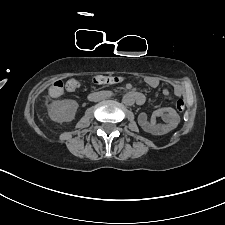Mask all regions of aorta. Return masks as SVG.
<instances>
[{
	"mask_svg": "<svg viewBox=\"0 0 225 225\" xmlns=\"http://www.w3.org/2000/svg\"><path fill=\"white\" fill-rule=\"evenodd\" d=\"M122 102L125 105H132L134 103V98L131 94H125L122 98Z\"/></svg>",
	"mask_w": 225,
	"mask_h": 225,
	"instance_id": "762f6f07",
	"label": "aorta"
}]
</instances>
